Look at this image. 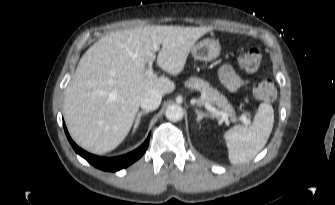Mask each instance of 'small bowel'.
Returning <instances> with one entry per match:
<instances>
[{"label": "small bowel", "mask_w": 335, "mask_h": 205, "mask_svg": "<svg viewBox=\"0 0 335 205\" xmlns=\"http://www.w3.org/2000/svg\"><path fill=\"white\" fill-rule=\"evenodd\" d=\"M222 84L231 92L239 90L246 81L230 65H223L218 70Z\"/></svg>", "instance_id": "small-bowel-1"}]
</instances>
